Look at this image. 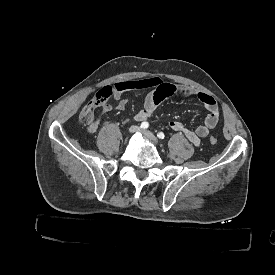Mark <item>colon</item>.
Wrapping results in <instances>:
<instances>
[{
    "label": "colon",
    "instance_id": "5ec220e1",
    "mask_svg": "<svg viewBox=\"0 0 275 275\" xmlns=\"http://www.w3.org/2000/svg\"><path fill=\"white\" fill-rule=\"evenodd\" d=\"M107 107V103L102 99H96L94 103L89 107L85 108L80 114V123H93L96 122L101 115L104 113ZM218 138L216 136H210L209 142L213 145L217 143Z\"/></svg>",
    "mask_w": 275,
    "mask_h": 275
}]
</instances>
